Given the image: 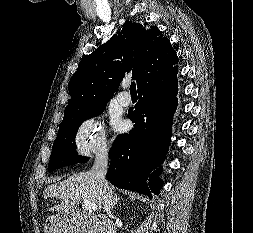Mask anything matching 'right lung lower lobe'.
<instances>
[{"instance_id":"obj_1","label":"right lung lower lobe","mask_w":253,"mask_h":233,"mask_svg":"<svg viewBox=\"0 0 253 233\" xmlns=\"http://www.w3.org/2000/svg\"><path fill=\"white\" fill-rule=\"evenodd\" d=\"M177 73L175 66L138 89L139 101L128 112L134 127L129 133L118 135L109 151L106 177L113 185L149 197L151 192L159 193L162 182L157 174L161 169L151 171L164 160L169 147L177 107Z\"/></svg>"}]
</instances>
